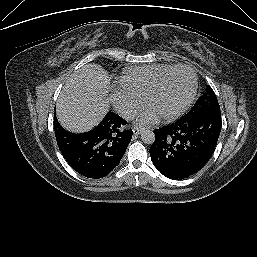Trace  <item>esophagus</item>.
<instances>
[{
    "mask_svg": "<svg viewBox=\"0 0 257 257\" xmlns=\"http://www.w3.org/2000/svg\"><path fill=\"white\" fill-rule=\"evenodd\" d=\"M141 132H142V129H141V128H138V127H134V128H133V133H134L135 135H139Z\"/></svg>",
    "mask_w": 257,
    "mask_h": 257,
    "instance_id": "34e87169",
    "label": "esophagus"
}]
</instances>
